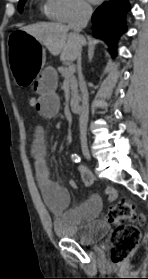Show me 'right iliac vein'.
I'll list each match as a JSON object with an SVG mask.
<instances>
[{
	"label": "right iliac vein",
	"mask_w": 148,
	"mask_h": 279,
	"mask_svg": "<svg viewBox=\"0 0 148 279\" xmlns=\"http://www.w3.org/2000/svg\"><path fill=\"white\" fill-rule=\"evenodd\" d=\"M82 152H83V154H84V156L86 157L87 160H91L90 152H89L87 147L84 146L82 148Z\"/></svg>",
	"instance_id": "right-iliac-vein-1"
}]
</instances>
